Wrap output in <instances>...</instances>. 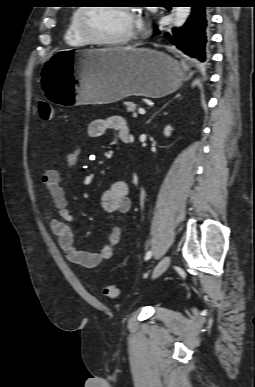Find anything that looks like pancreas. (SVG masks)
Listing matches in <instances>:
<instances>
[{
	"label": "pancreas",
	"mask_w": 255,
	"mask_h": 387,
	"mask_svg": "<svg viewBox=\"0 0 255 387\" xmlns=\"http://www.w3.org/2000/svg\"><path fill=\"white\" fill-rule=\"evenodd\" d=\"M124 105L127 107V111L132 112L133 116L135 117L136 116V113H135L136 104H134L133 102L125 101Z\"/></svg>",
	"instance_id": "obj_1"
}]
</instances>
